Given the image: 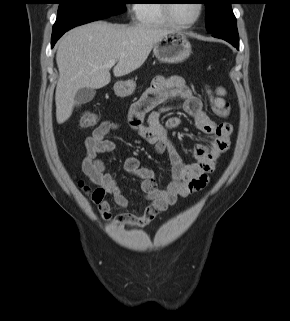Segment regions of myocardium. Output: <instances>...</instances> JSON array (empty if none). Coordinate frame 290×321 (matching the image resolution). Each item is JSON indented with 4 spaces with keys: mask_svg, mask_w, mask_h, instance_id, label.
Masks as SVG:
<instances>
[{
    "mask_svg": "<svg viewBox=\"0 0 290 321\" xmlns=\"http://www.w3.org/2000/svg\"><path fill=\"white\" fill-rule=\"evenodd\" d=\"M172 0H163V11L164 14L166 16V18L168 19V21L170 22L171 25L178 27V28H189L193 25H195L201 18L202 14H203V10H204V5L201 1H197V15L196 17L189 21V22H180L178 20H176L172 14Z\"/></svg>",
    "mask_w": 290,
    "mask_h": 321,
    "instance_id": "myocardium-1",
    "label": "myocardium"
}]
</instances>
